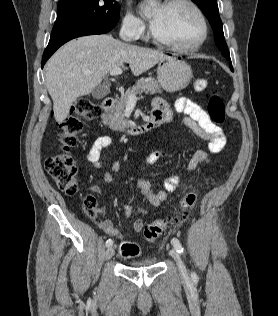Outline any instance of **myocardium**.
Here are the masks:
<instances>
[{"instance_id": "f54148a6", "label": "myocardium", "mask_w": 278, "mask_h": 316, "mask_svg": "<svg viewBox=\"0 0 278 316\" xmlns=\"http://www.w3.org/2000/svg\"><path fill=\"white\" fill-rule=\"evenodd\" d=\"M175 4H184L190 7L194 13L196 14L200 25H201V35L196 43L190 46H179L173 43H170L168 41H165L161 38H159L156 33L154 32L153 26L151 25L150 27V38L153 43H155L158 46L167 48L169 50L178 52V53H183V54H189L196 52L199 50L203 44L206 42L209 34V27L208 23L206 20V17L201 10V8L193 1V0H166L165 5H175Z\"/></svg>"}]
</instances>
